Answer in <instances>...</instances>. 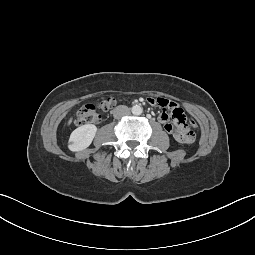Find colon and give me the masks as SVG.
Instances as JSON below:
<instances>
[{
    "mask_svg": "<svg viewBox=\"0 0 255 255\" xmlns=\"http://www.w3.org/2000/svg\"><path fill=\"white\" fill-rule=\"evenodd\" d=\"M116 102L117 99L115 97L108 96L103 98L98 103L83 105L76 113V125L81 126L88 123L99 122L101 118L100 112L109 110L116 104ZM187 122L191 125L193 129H196L198 127V124L194 119H191V116H188Z\"/></svg>",
    "mask_w": 255,
    "mask_h": 255,
    "instance_id": "5ec220e1",
    "label": "colon"
}]
</instances>
